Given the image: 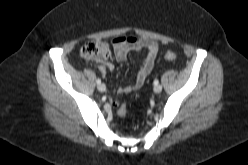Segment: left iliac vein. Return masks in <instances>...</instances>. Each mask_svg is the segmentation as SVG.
<instances>
[{
  "mask_svg": "<svg viewBox=\"0 0 248 165\" xmlns=\"http://www.w3.org/2000/svg\"><path fill=\"white\" fill-rule=\"evenodd\" d=\"M153 90L155 93H160L162 91V86L161 85H155Z\"/></svg>",
  "mask_w": 248,
  "mask_h": 165,
  "instance_id": "left-iliac-vein-1",
  "label": "left iliac vein"
}]
</instances>
